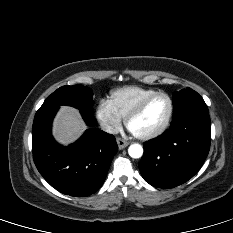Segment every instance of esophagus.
<instances>
[{
  "label": "esophagus",
  "instance_id": "esophagus-1",
  "mask_svg": "<svg viewBox=\"0 0 233 233\" xmlns=\"http://www.w3.org/2000/svg\"><path fill=\"white\" fill-rule=\"evenodd\" d=\"M116 141H117L119 149H124L125 147H127L129 145L128 141H126L122 138H119V137L116 139Z\"/></svg>",
  "mask_w": 233,
  "mask_h": 233
}]
</instances>
